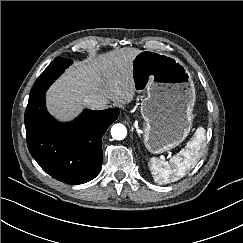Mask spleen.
<instances>
[{"label":"spleen","instance_id":"spleen-1","mask_svg":"<svg viewBox=\"0 0 243 243\" xmlns=\"http://www.w3.org/2000/svg\"><path fill=\"white\" fill-rule=\"evenodd\" d=\"M205 129L197 128L194 137L187 143L186 147L178 154L174 155L169 162L158 158L150 159V170L154 181L158 184L175 182L185 176V174L199 161L202 153V145L205 141Z\"/></svg>","mask_w":243,"mask_h":243}]
</instances>
